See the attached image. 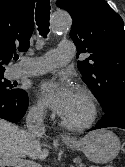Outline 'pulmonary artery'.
Here are the masks:
<instances>
[{
	"mask_svg": "<svg viewBox=\"0 0 125 167\" xmlns=\"http://www.w3.org/2000/svg\"><path fill=\"white\" fill-rule=\"evenodd\" d=\"M74 55V47L70 41H62L58 48L47 52L46 54L27 58L29 66L18 68L14 73V78L26 76H36L66 65Z\"/></svg>",
	"mask_w": 125,
	"mask_h": 167,
	"instance_id": "1",
	"label": "pulmonary artery"
}]
</instances>
